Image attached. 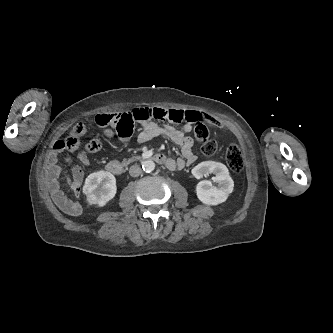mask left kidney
Returning <instances> with one entry per match:
<instances>
[{
	"label": "left kidney",
	"instance_id": "5707ae66",
	"mask_svg": "<svg viewBox=\"0 0 333 333\" xmlns=\"http://www.w3.org/2000/svg\"><path fill=\"white\" fill-rule=\"evenodd\" d=\"M212 173L215 175L213 181L218 184L217 186H213L209 180H203L196 187L198 199L206 205H218L225 202L234 187L228 168L222 163L204 161L192 169V174L197 179Z\"/></svg>",
	"mask_w": 333,
	"mask_h": 333
}]
</instances>
